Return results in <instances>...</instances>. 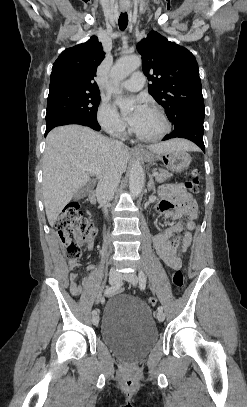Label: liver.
Listing matches in <instances>:
<instances>
[{
    "instance_id": "1",
    "label": "liver",
    "mask_w": 247,
    "mask_h": 407,
    "mask_svg": "<svg viewBox=\"0 0 247 407\" xmlns=\"http://www.w3.org/2000/svg\"><path fill=\"white\" fill-rule=\"evenodd\" d=\"M152 153L169 150H195L193 143L173 139L147 147ZM129 148L115 145L110 139L80 125L53 129L46 138L43 156V199L46 216L53 226L62 209L79 189L89 182V172L100 178L104 174L125 172Z\"/></svg>"
}]
</instances>
